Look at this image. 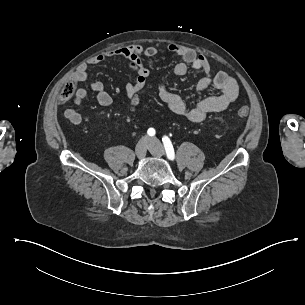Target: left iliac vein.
I'll return each instance as SVG.
<instances>
[{
  "mask_svg": "<svg viewBox=\"0 0 305 305\" xmlns=\"http://www.w3.org/2000/svg\"><path fill=\"white\" fill-rule=\"evenodd\" d=\"M149 151L156 157H160L164 154L162 144L155 137H152L149 140Z\"/></svg>",
  "mask_w": 305,
  "mask_h": 305,
  "instance_id": "4c4485c4",
  "label": "left iliac vein"
}]
</instances>
